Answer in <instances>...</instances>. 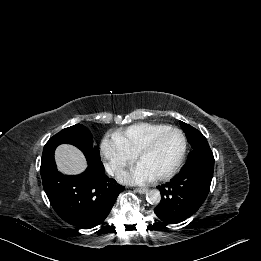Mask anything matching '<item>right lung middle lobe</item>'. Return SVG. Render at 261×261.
I'll list each match as a JSON object with an SVG mask.
<instances>
[{
  "mask_svg": "<svg viewBox=\"0 0 261 261\" xmlns=\"http://www.w3.org/2000/svg\"><path fill=\"white\" fill-rule=\"evenodd\" d=\"M79 140H85V142L86 140H89L91 143H93L92 134L85 126L76 124L61 130L59 133L50 138L44 146L42 160L46 161L53 158L54 150L59 144L69 143L76 145ZM88 146L91 151L99 154V148L97 146L94 148L92 144Z\"/></svg>",
  "mask_w": 261,
  "mask_h": 261,
  "instance_id": "obj_1",
  "label": "right lung middle lobe"
}]
</instances>
